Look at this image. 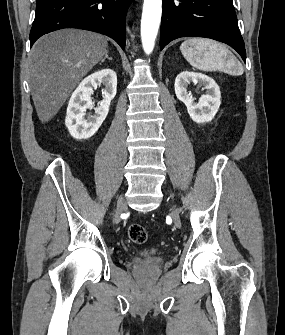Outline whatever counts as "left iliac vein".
I'll list each match as a JSON object with an SVG mask.
<instances>
[{"instance_id":"1","label":"left iliac vein","mask_w":285,"mask_h":335,"mask_svg":"<svg viewBox=\"0 0 285 335\" xmlns=\"http://www.w3.org/2000/svg\"><path fill=\"white\" fill-rule=\"evenodd\" d=\"M173 217H174V218H177V217H178V213H177V211H174V212H173Z\"/></svg>"}]
</instances>
